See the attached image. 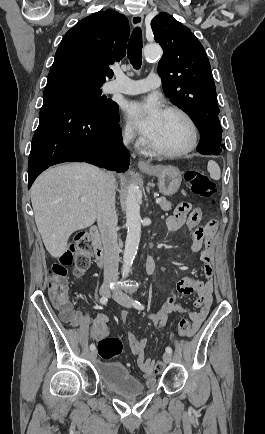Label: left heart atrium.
I'll list each match as a JSON object with an SVG mask.
<instances>
[{"mask_svg": "<svg viewBox=\"0 0 265 434\" xmlns=\"http://www.w3.org/2000/svg\"><path fill=\"white\" fill-rule=\"evenodd\" d=\"M157 101L155 97H150L142 102H130L126 106L129 124L149 141L155 138L164 115Z\"/></svg>", "mask_w": 265, "mask_h": 434, "instance_id": "1", "label": "left heart atrium"}]
</instances>
